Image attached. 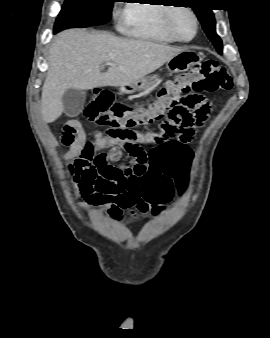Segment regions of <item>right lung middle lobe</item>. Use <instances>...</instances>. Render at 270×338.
I'll use <instances>...</instances> for the list:
<instances>
[{
    "mask_svg": "<svg viewBox=\"0 0 270 338\" xmlns=\"http://www.w3.org/2000/svg\"><path fill=\"white\" fill-rule=\"evenodd\" d=\"M116 0H65L56 19L54 33L66 28L101 25L111 18Z\"/></svg>",
    "mask_w": 270,
    "mask_h": 338,
    "instance_id": "right-lung-middle-lobe-1",
    "label": "right lung middle lobe"
}]
</instances>
